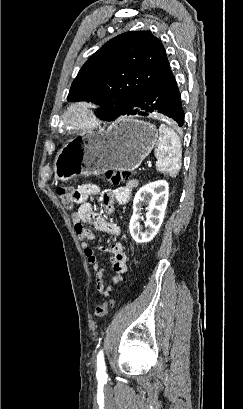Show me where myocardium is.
Here are the masks:
<instances>
[{
    "label": "myocardium",
    "instance_id": "1",
    "mask_svg": "<svg viewBox=\"0 0 243 409\" xmlns=\"http://www.w3.org/2000/svg\"><path fill=\"white\" fill-rule=\"evenodd\" d=\"M78 117L82 123L76 127H70L67 122L70 118ZM101 120L96 111V106L88 101L71 102L61 113L59 128L68 135H79L98 128Z\"/></svg>",
    "mask_w": 243,
    "mask_h": 409
}]
</instances>
